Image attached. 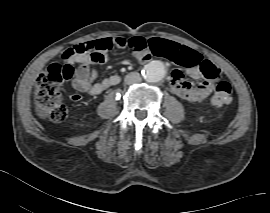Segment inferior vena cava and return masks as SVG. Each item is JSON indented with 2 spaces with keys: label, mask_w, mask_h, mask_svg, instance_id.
<instances>
[{
  "label": "inferior vena cava",
  "mask_w": 270,
  "mask_h": 213,
  "mask_svg": "<svg viewBox=\"0 0 270 213\" xmlns=\"http://www.w3.org/2000/svg\"><path fill=\"white\" fill-rule=\"evenodd\" d=\"M126 84H133L141 81V76L138 72H131L124 78Z\"/></svg>",
  "instance_id": "1"
}]
</instances>
